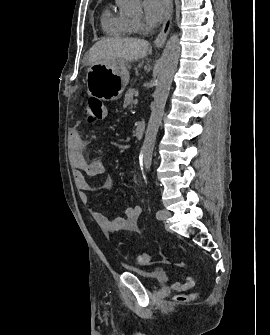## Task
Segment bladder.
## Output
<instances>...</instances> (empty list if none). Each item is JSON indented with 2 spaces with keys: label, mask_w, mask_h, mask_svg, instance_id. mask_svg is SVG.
Returning a JSON list of instances; mask_svg holds the SVG:
<instances>
[{
  "label": "bladder",
  "mask_w": 270,
  "mask_h": 335,
  "mask_svg": "<svg viewBox=\"0 0 270 335\" xmlns=\"http://www.w3.org/2000/svg\"><path fill=\"white\" fill-rule=\"evenodd\" d=\"M138 278L148 280L153 286L159 284L168 278L167 270L165 268H155L150 272H142L140 270H131Z\"/></svg>",
  "instance_id": "1"
}]
</instances>
